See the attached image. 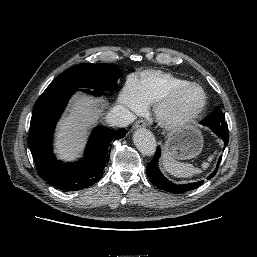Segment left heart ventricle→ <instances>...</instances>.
<instances>
[{
    "mask_svg": "<svg viewBox=\"0 0 257 257\" xmlns=\"http://www.w3.org/2000/svg\"><path fill=\"white\" fill-rule=\"evenodd\" d=\"M202 101V93L198 88H191L183 92L169 108L174 116L187 115L194 111Z\"/></svg>",
    "mask_w": 257,
    "mask_h": 257,
    "instance_id": "1",
    "label": "left heart ventricle"
}]
</instances>
